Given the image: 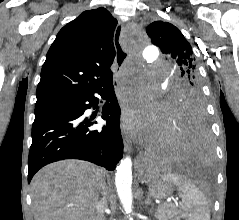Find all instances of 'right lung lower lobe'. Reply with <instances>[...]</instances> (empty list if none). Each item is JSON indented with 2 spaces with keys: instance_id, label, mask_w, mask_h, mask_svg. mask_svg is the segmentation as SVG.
I'll return each instance as SVG.
<instances>
[{
  "instance_id": "98d812e1",
  "label": "right lung lower lobe",
  "mask_w": 239,
  "mask_h": 220,
  "mask_svg": "<svg viewBox=\"0 0 239 220\" xmlns=\"http://www.w3.org/2000/svg\"><path fill=\"white\" fill-rule=\"evenodd\" d=\"M94 94L107 100L101 114L107 124L99 131L89 130L96 123L92 117H83L86 109L98 105L99 99ZM122 155L120 107L112 75L86 94L35 107L28 183L40 168L58 160H87L113 170Z\"/></svg>"
}]
</instances>
